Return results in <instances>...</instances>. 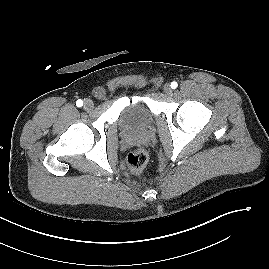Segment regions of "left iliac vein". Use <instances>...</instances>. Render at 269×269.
I'll return each mask as SVG.
<instances>
[{
	"label": "left iliac vein",
	"instance_id": "4c4485c4",
	"mask_svg": "<svg viewBox=\"0 0 269 269\" xmlns=\"http://www.w3.org/2000/svg\"><path fill=\"white\" fill-rule=\"evenodd\" d=\"M164 92L167 94V95H171L172 94V88L169 84H165L164 85Z\"/></svg>",
	"mask_w": 269,
	"mask_h": 269
}]
</instances>
